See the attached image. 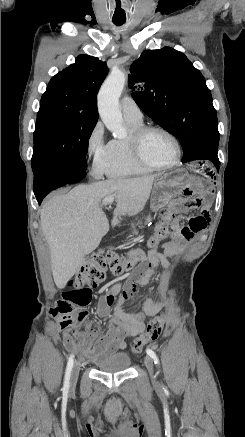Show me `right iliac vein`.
I'll return each instance as SVG.
<instances>
[{
  "mask_svg": "<svg viewBox=\"0 0 245 437\" xmlns=\"http://www.w3.org/2000/svg\"><path fill=\"white\" fill-rule=\"evenodd\" d=\"M79 370H80L79 363H75V365L73 366V369H72V372H71V378H70V384H71L72 387L77 382Z\"/></svg>",
  "mask_w": 245,
  "mask_h": 437,
  "instance_id": "63e3f726",
  "label": "right iliac vein"
}]
</instances>
